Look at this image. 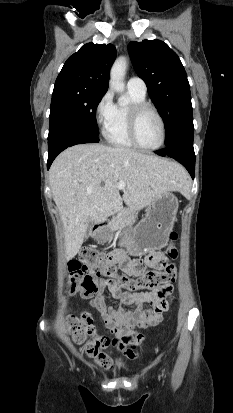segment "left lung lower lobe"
Returning <instances> with one entry per match:
<instances>
[{
	"mask_svg": "<svg viewBox=\"0 0 233 413\" xmlns=\"http://www.w3.org/2000/svg\"><path fill=\"white\" fill-rule=\"evenodd\" d=\"M157 154L161 156H169L178 162H180L190 173L192 179L195 174V153L193 148V142H179L174 144L170 148L157 151Z\"/></svg>",
	"mask_w": 233,
	"mask_h": 413,
	"instance_id": "obj_1",
	"label": "left lung lower lobe"
}]
</instances>
